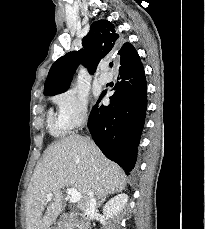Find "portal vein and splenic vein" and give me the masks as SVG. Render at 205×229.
Wrapping results in <instances>:
<instances>
[{"label":"portal vein and splenic vein","mask_w":205,"mask_h":229,"mask_svg":"<svg viewBox=\"0 0 205 229\" xmlns=\"http://www.w3.org/2000/svg\"><path fill=\"white\" fill-rule=\"evenodd\" d=\"M66 193L68 194V196H69V201L71 202V203H75V202H78L79 200H80V198H81V193L80 192H78L76 189H74V188H67L66 189ZM47 199H51L52 198V194L51 193H49V194H47Z\"/></svg>","instance_id":"1"}]
</instances>
